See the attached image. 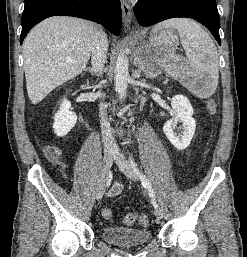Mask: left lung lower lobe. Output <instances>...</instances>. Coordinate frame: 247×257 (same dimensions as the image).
Listing matches in <instances>:
<instances>
[{
    "instance_id": "1",
    "label": "left lung lower lobe",
    "mask_w": 247,
    "mask_h": 257,
    "mask_svg": "<svg viewBox=\"0 0 247 257\" xmlns=\"http://www.w3.org/2000/svg\"><path fill=\"white\" fill-rule=\"evenodd\" d=\"M135 16L142 26L176 17L195 19L206 26L221 45L220 18L215 0H144L135 4Z\"/></svg>"
}]
</instances>
